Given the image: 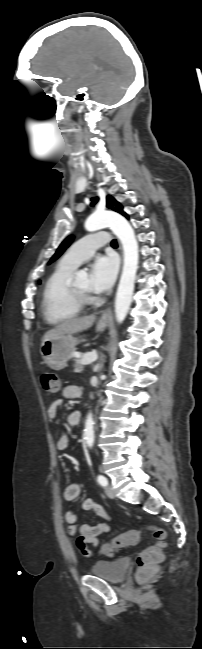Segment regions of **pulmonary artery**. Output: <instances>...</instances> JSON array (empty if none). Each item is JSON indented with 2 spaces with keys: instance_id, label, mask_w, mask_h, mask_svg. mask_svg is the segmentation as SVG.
<instances>
[{
  "instance_id": "1",
  "label": "pulmonary artery",
  "mask_w": 202,
  "mask_h": 649,
  "mask_svg": "<svg viewBox=\"0 0 202 649\" xmlns=\"http://www.w3.org/2000/svg\"><path fill=\"white\" fill-rule=\"evenodd\" d=\"M108 244L109 236L106 232L89 234L75 242L65 253L61 262L76 268L91 257L98 248Z\"/></svg>"
}]
</instances>
